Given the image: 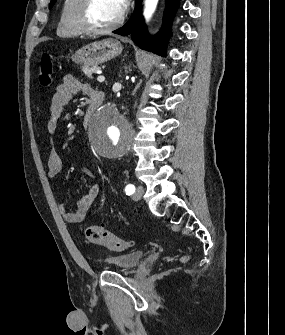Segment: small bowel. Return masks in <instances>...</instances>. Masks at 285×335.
<instances>
[{"mask_svg":"<svg viewBox=\"0 0 285 335\" xmlns=\"http://www.w3.org/2000/svg\"><path fill=\"white\" fill-rule=\"evenodd\" d=\"M78 93L87 94L92 100H99L101 96L94 92L90 86L82 84L75 77L67 75L63 82L57 86L55 93L51 98L50 118L47 123V129L50 135H53L59 125L63 111L69 101ZM47 166L51 177L58 175L63 168L62 160L57 153L55 144L51 139L47 146ZM84 175L89 178L94 177V172L90 168L83 169ZM101 185L94 183L86 195L82 197L77 208L73 212H68L63 204L59 205V212L66 222L76 224L84 220L88 211L99 197Z\"/></svg>","mask_w":285,"mask_h":335,"instance_id":"1","label":"small bowel"}]
</instances>
